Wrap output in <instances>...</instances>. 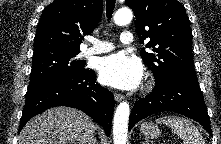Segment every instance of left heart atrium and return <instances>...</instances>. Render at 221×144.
Wrapping results in <instances>:
<instances>
[{
  "label": "left heart atrium",
  "instance_id": "left-heart-atrium-1",
  "mask_svg": "<svg viewBox=\"0 0 221 144\" xmlns=\"http://www.w3.org/2000/svg\"><path fill=\"white\" fill-rule=\"evenodd\" d=\"M143 76V69L138 59L124 53H115L103 58L99 65V79L105 84L118 89L136 88Z\"/></svg>",
  "mask_w": 221,
  "mask_h": 144
}]
</instances>
